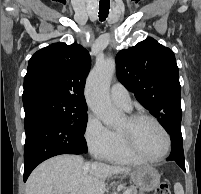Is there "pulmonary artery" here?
Returning <instances> with one entry per match:
<instances>
[{
  "mask_svg": "<svg viewBox=\"0 0 201 194\" xmlns=\"http://www.w3.org/2000/svg\"><path fill=\"white\" fill-rule=\"evenodd\" d=\"M110 98L116 106L127 111L132 109L130 94L121 83L116 82L112 85L110 90Z\"/></svg>",
  "mask_w": 201,
  "mask_h": 194,
  "instance_id": "1",
  "label": "pulmonary artery"
}]
</instances>
